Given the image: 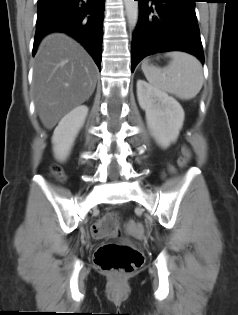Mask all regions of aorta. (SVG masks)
Returning a JSON list of instances; mask_svg holds the SVG:
<instances>
[{"label": "aorta", "mask_w": 238, "mask_h": 315, "mask_svg": "<svg viewBox=\"0 0 238 315\" xmlns=\"http://www.w3.org/2000/svg\"><path fill=\"white\" fill-rule=\"evenodd\" d=\"M126 14H127V20L129 23V26L131 28H135L138 22L139 17V5L138 1L134 0H124Z\"/></svg>", "instance_id": "762f6f07"}]
</instances>
